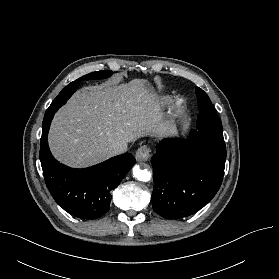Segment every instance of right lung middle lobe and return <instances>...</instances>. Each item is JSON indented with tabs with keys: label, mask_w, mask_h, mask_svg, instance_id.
Wrapping results in <instances>:
<instances>
[{
	"label": "right lung middle lobe",
	"mask_w": 279,
	"mask_h": 279,
	"mask_svg": "<svg viewBox=\"0 0 279 279\" xmlns=\"http://www.w3.org/2000/svg\"><path fill=\"white\" fill-rule=\"evenodd\" d=\"M111 74H112V71H110V70L97 71V72H93V73L84 75V76L80 77L79 79L71 82L69 85H67L60 92V94L55 98V100L51 103V105L47 109L45 116H44L43 124H42L43 128H45L44 130H46V128L49 129V126H50V123L52 120V116H50L52 114L51 111L56 112L59 109L58 107H61L63 104H65V102L69 99V97L77 89V87L81 81L90 80V79L107 78V77L111 76ZM56 106H58V107H56Z\"/></svg>",
	"instance_id": "1"
}]
</instances>
